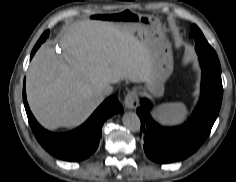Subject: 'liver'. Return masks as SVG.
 I'll list each match as a JSON object with an SVG mask.
<instances>
[{
  "mask_svg": "<svg viewBox=\"0 0 236 182\" xmlns=\"http://www.w3.org/2000/svg\"><path fill=\"white\" fill-rule=\"evenodd\" d=\"M60 45L66 55L44 44L26 79L31 111L49 129L83 123L104 100V85L123 79L146 82L152 72L148 43L113 22H74L63 28Z\"/></svg>",
  "mask_w": 236,
  "mask_h": 182,
  "instance_id": "liver-1",
  "label": "liver"
}]
</instances>
